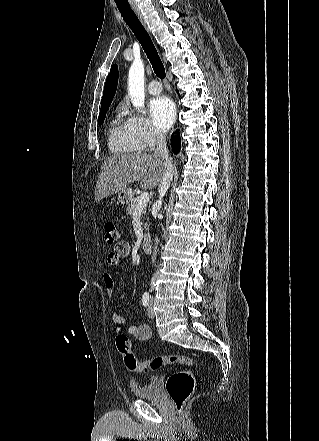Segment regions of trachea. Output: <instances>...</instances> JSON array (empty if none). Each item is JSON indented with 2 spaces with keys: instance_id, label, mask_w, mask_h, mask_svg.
<instances>
[{
  "instance_id": "trachea-1",
  "label": "trachea",
  "mask_w": 319,
  "mask_h": 441,
  "mask_svg": "<svg viewBox=\"0 0 319 441\" xmlns=\"http://www.w3.org/2000/svg\"><path fill=\"white\" fill-rule=\"evenodd\" d=\"M123 20L132 30L139 43L141 44L144 52L146 53L149 61L152 64L154 73L160 78L164 79L166 77L164 65L157 53V50L144 26L138 19L135 12L130 6L117 5Z\"/></svg>"
}]
</instances>
